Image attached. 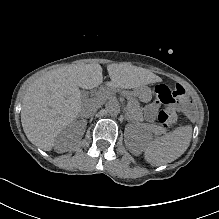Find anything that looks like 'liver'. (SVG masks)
<instances>
[{
  "mask_svg": "<svg viewBox=\"0 0 219 219\" xmlns=\"http://www.w3.org/2000/svg\"><path fill=\"white\" fill-rule=\"evenodd\" d=\"M114 88H137L151 82L152 73L132 65L108 66ZM103 82L102 67L98 63L69 65L46 72L35 79L23 97L21 123L29 141L49 150L59 131L81 113L83 105L90 113L102 106L103 95L82 98L80 88L90 90Z\"/></svg>",
  "mask_w": 219,
  "mask_h": 219,
  "instance_id": "liver-1",
  "label": "liver"
}]
</instances>
